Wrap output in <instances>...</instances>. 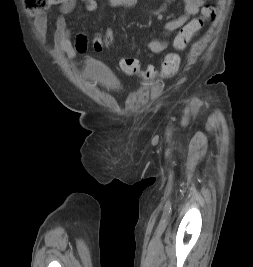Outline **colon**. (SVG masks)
I'll return each mask as SVG.
<instances>
[{"label": "colon", "mask_w": 253, "mask_h": 267, "mask_svg": "<svg viewBox=\"0 0 253 267\" xmlns=\"http://www.w3.org/2000/svg\"><path fill=\"white\" fill-rule=\"evenodd\" d=\"M64 0H24L26 8L33 11H43L50 5L61 4ZM216 14L215 8L212 5H205L201 10V15L188 22L180 29L174 39V48L178 51L183 50L192 37L201 30L204 22L213 18ZM95 51H103L105 49H114L115 37L112 33H104L97 35L92 42ZM180 65V56L176 52L168 53L161 65L160 76L168 78L173 76ZM120 67L128 75H141L146 79H152L157 75L153 67H149L146 71H142L138 61L134 58H122L120 60Z\"/></svg>", "instance_id": "colon-1"}]
</instances>
